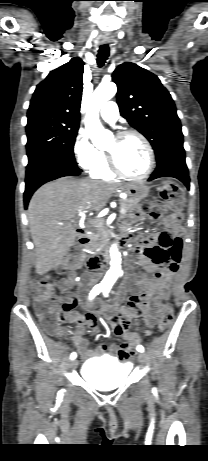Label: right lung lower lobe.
<instances>
[{
	"label": "right lung lower lobe",
	"mask_w": 208,
	"mask_h": 461,
	"mask_svg": "<svg viewBox=\"0 0 208 461\" xmlns=\"http://www.w3.org/2000/svg\"><path fill=\"white\" fill-rule=\"evenodd\" d=\"M81 169L76 163L59 156H46L27 166L24 207L27 209L32 194L46 182L64 176H77Z\"/></svg>",
	"instance_id": "98d812e1"
}]
</instances>
